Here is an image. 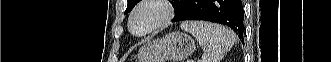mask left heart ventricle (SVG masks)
Segmentation results:
<instances>
[{"label":"left heart ventricle","instance_id":"1","mask_svg":"<svg viewBox=\"0 0 331 62\" xmlns=\"http://www.w3.org/2000/svg\"><path fill=\"white\" fill-rule=\"evenodd\" d=\"M161 14L158 7H148L141 11L134 22V29L141 32L148 28Z\"/></svg>","mask_w":331,"mask_h":62}]
</instances>
